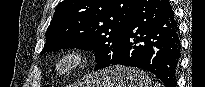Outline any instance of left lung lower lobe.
Masks as SVG:
<instances>
[{"instance_id":"0a47b994","label":"left lung lower lobe","mask_w":205,"mask_h":87,"mask_svg":"<svg viewBox=\"0 0 205 87\" xmlns=\"http://www.w3.org/2000/svg\"><path fill=\"white\" fill-rule=\"evenodd\" d=\"M180 40L174 11L168 0H138L118 53L103 67L125 65L145 69L167 87H175Z\"/></svg>"}]
</instances>
